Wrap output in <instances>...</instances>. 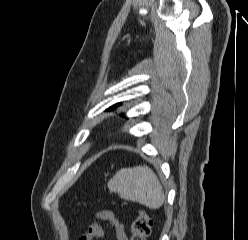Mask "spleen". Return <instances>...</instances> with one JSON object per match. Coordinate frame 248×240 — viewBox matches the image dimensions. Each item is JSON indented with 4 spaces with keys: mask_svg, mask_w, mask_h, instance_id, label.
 Listing matches in <instances>:
<instances>
[{
    "mask_svg": "<svg viewBox=\"0 0 248 240\" xmlns=\"http://www.w3.org/2000/svg\"><path fill=\"white\" fill-rule=\"evenodd\" d=\"M108 188L121 199L139 202L150 209L160 208L165 200L162 185L146 165L119 170L108 181Z\"/></svg>",
    "mask_w": 248,
    "mask_h": 240,
    "instance_id": "3e777b00",
    "label": "spleen"
}]
</instances>
